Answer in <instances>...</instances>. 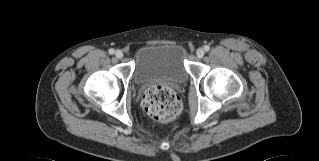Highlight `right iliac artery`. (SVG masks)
<instances>
[{"label":"right iliac artery","instance_id":"82829eb1","mask_svg":"<svg viewBox=\"0 0 319 161\" xmlns=\"http://www.w3.org/2000/svg\"><path fill=\"white\" fill-rule=\"evenodd\" d=\"M108 52H109V54H111V55H112V54H114V49H109V51H108Z\"/></svg>","mask_w":319,"mask_h":161}]
</instances>
